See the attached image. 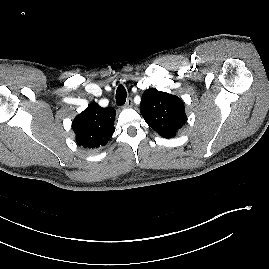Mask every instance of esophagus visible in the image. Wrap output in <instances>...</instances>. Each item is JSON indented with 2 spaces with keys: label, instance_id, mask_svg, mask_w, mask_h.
<instances>
[{
  "label": "esophagus",
  "instance_id": "1",
  "mask_svg": "<svg viewBox=\"0 0 269 269\" xmlns=\"http://www.w3.org/2000/svg\"><path fill=\"white\" fill-rule=\"evenodd\" d=\"M132 104H133L132 98H128L123 107L124 108H130V107H132Z\"/></svg>",
  "mask_w": 269,
  "mask_h": 269
}]
</instances>
